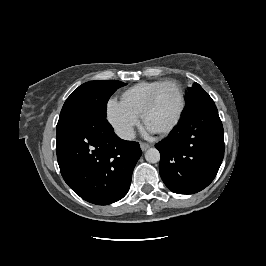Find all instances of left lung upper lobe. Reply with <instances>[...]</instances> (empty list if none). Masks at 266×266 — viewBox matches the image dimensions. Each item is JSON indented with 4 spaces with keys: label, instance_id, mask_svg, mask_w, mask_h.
Masks as SVG:
<instances>
[{
    "label": "left lung upper lobe",
    "instance_id": "obj_1",
    "mask_svg": "<svg viewBox=\"0 0 266 266\" xmlns=\"http://www.w3.org/2000/svg\"><path fill=\"white\" fill-rule=\"evenodd\" d=\"M208 95L203 88L198 84L195 83L192 87L188 88L185 96V101L187 106H189L191 103L196 101L199 98H202L204 96Z\"/></svg>",
    "mask_w": 266,
    "mask_h": 266
}]
</instances>
